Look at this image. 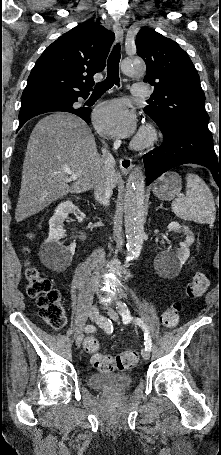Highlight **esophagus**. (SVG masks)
I'll return each mask as SVG.
<instances>
[{
  "label": "esophagus",
  "mask_w": 221,
  "mask_h": 455,
  "mask_svg": "<svg viewBox=\"0 0 221 455\" xmlns=\"http://www.w3.org/2000/svg\"><path fill=\"white\" fill-rule=\"evenodd\" d=\"M113 31L116 35L118 41H122L123 39V29L118 22H115L113 25ZM119 166L124 175H128L132 169V160L129 157H122L119 160Z\"/></svg>",
  "instance_id": "1"
}]
</instances>
